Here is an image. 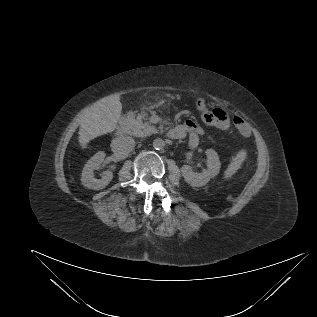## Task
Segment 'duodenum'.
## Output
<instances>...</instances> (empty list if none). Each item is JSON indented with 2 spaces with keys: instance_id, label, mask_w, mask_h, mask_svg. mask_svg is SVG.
I'll list each match as a JSON object with an SVG mask.
<instances>
[{
  "instance_id": "duodenum-1",
  "label": "duodenum",
  "mask_w": 317,
  "mask_h": 317,
  "mask_svg": "<svg viewBox=\"0 0 317 317\" xmlns=\"http://www.w3.org/2000/svg\"><path fill=\"white\" fill-rule=\"evenodd\" d=\"M128 127H129V121L128 119L125 117V118H122L116 128V134L117 135H124L127 133L128 131Z\"/></svg>"
}]
</instances>
